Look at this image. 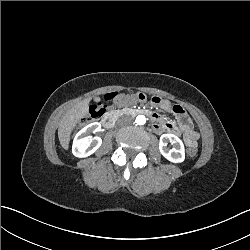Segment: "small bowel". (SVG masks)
<instances>
[{
  "label": "small bowel",
  "instance_id": "1",
  "mask_svg": "<svg viewBox=\"0 0 250 250\" xmlns=\"http://www.w3.org/2000/svg\"><path fill=\"white\" fill-rule=\"evenodd\" d=\"M134 96H135L134 94L126 95V96H124V98L121 101H118L117 104H119V105L130 104L136 100ZM159 103L164 110H171V108H172V105L168 100H162ZM154 128L157 131H161V130L166 129V128L170 129V130H178L179 129L178 126H176L174 124L164 125V124H158V123L154 125ZM185 134L188 136V138L196 141L197 133H195L192 130L190 121H189L187 127H185Z\"/></svg>",
  "mask_w": 250,
  "mask_h": 250
}]
</instances>
